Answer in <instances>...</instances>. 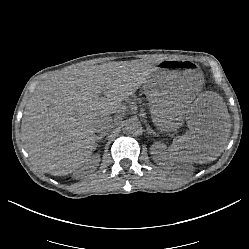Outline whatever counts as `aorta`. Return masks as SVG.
<instances>
[{
  "label": "aorta",
  "mask_w": 249,
  "mask_h": 249,
  "mask_svg": "<svg viewBox=\"0 0 249 249\" xmlns=\"http://www.w3.org/2000/svg\"><path fill=\"white\" fill-rule=\"evenodd\" d=\"M125 128L131 134H137L142 129L140 121L136 118L127 119L125 122Z\"/></svg>",
  "instance_id": "1"
}]
</instances>
